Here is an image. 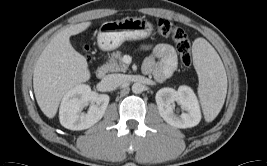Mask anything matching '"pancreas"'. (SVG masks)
<instances>
[{
	"mask_svg": "<svg viewBox=\"0 0 267 166\" xmlns=\"http://www.w3.org/2000/svg\"><path fill=\"white\" fill-rule=\"evenodd\" d=\"M103 67L108 72H126L128 70V65L123 62L120 51L113 52Z\"/></svg>",
	"mask_w": 267,
	"mask_h": 166,
	"instance_id": "obj_1",
	"label": "pancreas"
}]
</instances>
